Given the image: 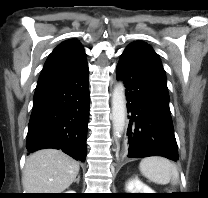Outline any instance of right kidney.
<instances>
[{"label":"right kidney","instance_id":"ca27d5eb","mask_svg":"<svg viewBox=\"0 0 208 198\" xmlns=\"http://www.w3.org/2000/svg\"><path fill=\"white\" fill-rule=\"evenodd\" d=\"M66 193H75V191H67Z\"/></svg>","mask_w":208,"mask_h":198}]
</instances>
